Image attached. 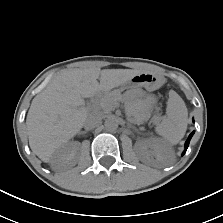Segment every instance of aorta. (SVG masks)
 <instances>
[{
	"label": "aorta",
	"instance_id": "obj_1",
	"mask_svg": "<svg viewBox=\"0 0 223 223\" xmlns=\"http://www.w3.org/2000/svg\"><path fill=\"white\" fill-rule=\"evenodd\" d=\"M104 125L109 131H115L118 128L117 120L114 117H108Z\"/></svg>",
	"mask_w": 223,
	"mask_h": 223
}]
</instances>
